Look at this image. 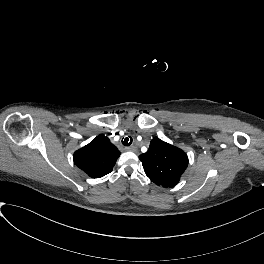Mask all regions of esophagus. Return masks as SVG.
I'll return each mask as SVG.
<instances>
[{
	"label": "esophagus",
	"instance_id": "34e87169",
	"mask_svg": "<svg viewBox=\"0 0 264 264\" xmlns=\"http://www.w3.org/2000/svg\"><path fill=\"white\" fill-rule=\"evenodd\" d=\"M136 146H130V147H126L127 151H136Z\"/></svg>",
	"mask_w": 264,
	"mask_h": 264
}]
</instances>
